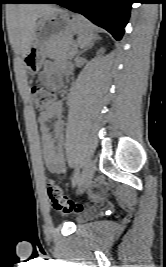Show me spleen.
I'll list each match as a JSON object with an SVG mask.
<instances>
[{
	"instance_id": "obj_1",
	"label": "spleen",
	"mask_w": 166,
	"mask_h": 267,
	"mask_svg": "<svg viewBox=\"0 0 166 267\" xmlns=\"http://www.w3.org/2000/svg\"><path fill=\"white\" fill-rule=\"evenodd\" d=\"M95 38L93 34L92 24L86 19H82L80 29L78 31V44L81 48L91 46L93 39Z\"/></svg>"
}]
</instances>
